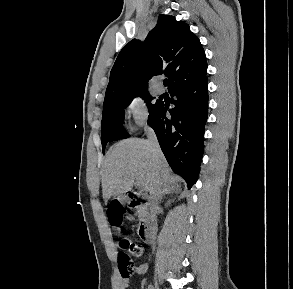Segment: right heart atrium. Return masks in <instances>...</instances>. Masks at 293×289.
<instances>
[{"instance_id": "d8ad5b80", "label": "right heart atrium", "mask_w": 293, "mask_h": 289, "mask_svg": "<svg viewBox=\"0 0 293 289\" xmlns=\"http://www.w3.org/2000/svg\"><path fill=\"white\" fill-rule=\"evenodd\" d=\"M126 113L132 121L135 130L144 128L148 124L149 112L144 99L140 96L131 98L126 104Z\"/></svg>"}]
</instances>
